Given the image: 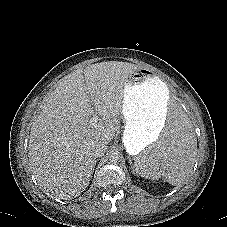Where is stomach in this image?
<instances>
[{"label":"stomach","mask_w":227,"mask_h":227,"mask_svg":"<svg viewBox=\"0 0 227 227\" xmlns=\"http://www.w3.org/2000/svg\"><path fill=\"white\" fill-rule=\"evenodd\" d=\"M168 101L167 85L151 71L139 69L129 75L121 114L123 143L135 162L144 151L157 152L167 133Z\"/></svg>","instance_id":"1"}]
</instances>
